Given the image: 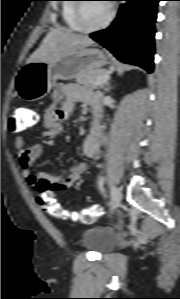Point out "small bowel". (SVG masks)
I'll return each mask as SVG.
<instances>
[{"label": "small bowel", "mask_w": 180, "mask_h": 299, "mask_svg": "<svg viewBox=\"0 0 180 299\" xmlns=\"http://www.w3.org/2000/svg\"><path fill=\"white\" fill-rule=\"evenodd\" d=\"M53 103L43 115V137L47 140L55 139L62 131V122L69 119L78 103L95 106L97 95L72 83L58 84L52 94ZM95 123L82 143V153L92 161L100 156L101 130L96 124L97 112H94ZM26 140L18 137L15 147L19 151L22 173L26 181L36 186L39 182L49 183L52 187L67 188L74 185L89 168V164L81 162L75 164L58 175L47 173H32L30 166L39 158L42 152L40 144L25 147Z\"/></svg>", "instance_id": "obj_1"}]
</instances>
